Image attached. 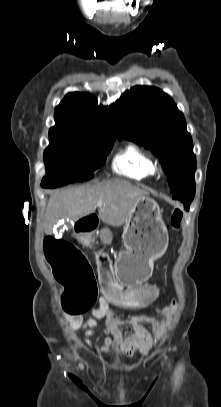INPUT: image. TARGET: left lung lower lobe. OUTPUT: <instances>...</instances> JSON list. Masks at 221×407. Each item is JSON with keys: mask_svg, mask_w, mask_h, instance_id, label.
Here are the masks:
<instances>
[{"mask_svg": "<svg viewBox=\"0 0 221 407\" xmlns=\"http://www.w3.org/2000/svg\"><path fill=\"white\" fill-rule=\"evenodd\" d=\"M194 194L195 189L182 191L174 194L173 199L180 200L184 204L185 209L189 210V206L193 200Z\"/></svg>", "mask_w": 221, "mask_h": 407, "instance_id": "obj_1", "label": "left lung lower lobe"}]
</instances>
